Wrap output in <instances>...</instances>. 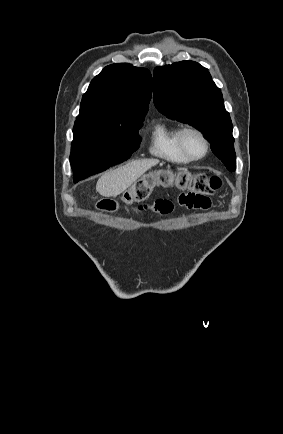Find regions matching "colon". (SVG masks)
Segmentation results:
<instances>
[{"mask_svg": "<svg viewBox=\"0 0 283 434\" xmlns=\"http://www.w3.org/2000/svg\"><path fill=\"white\" fill-rule=\"evenodd\" d=\"M170 183V178L164 173L147 175L126 191L121 202L124 204L142 202L150 196L153 188L157 184L168 185ZM176 184L181 188H189L194 193L210 196L220 188L221 180L218 176L207 173H183L178 176ZM98 208L111 212L117 208V203L112 200H103L98 204Z\"/></svg>", "mask_w": 283, "mask_h": 434, "instance_id": "5ec220e1", "label": "colon"}]
</instances>
